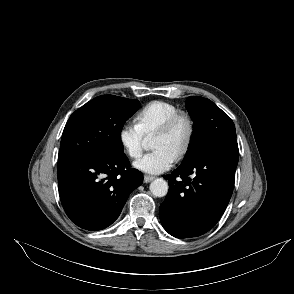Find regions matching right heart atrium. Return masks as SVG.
Listing matches in <instances>:
<instances>
[{
  "label": "right heart atrium",
  "instance_id": "d8ad5b80",
  "mask_svg": "<svg viewBox=\"0 0 294 294\" xmlns=\"http://www.w3.org/2000/svg\"><path fill=\"white\" fill-rule=\"evenodd\" d=\"M118 140L130 158H138L143 151L145 136L137 126V124L124 123L118 132Z\"/></svg>",
  "mask_w": 294,
  "mask_h": 294
}]
</instances>
